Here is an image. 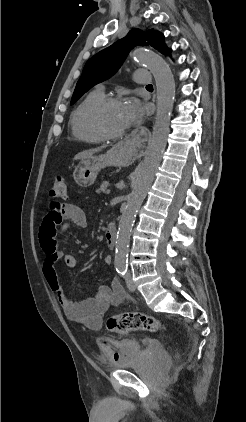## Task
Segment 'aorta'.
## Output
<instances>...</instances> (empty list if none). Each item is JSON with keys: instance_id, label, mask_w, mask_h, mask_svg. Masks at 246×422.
Returning <instances> with one entry per match:
<instances>
[{"instance_id": "aorta-1", "label": "aorta", "mask_w": 246, "mask_h": 422, "mask_svg": "<svg viewBox=\"0 0 246 422\" xmlns=\"http://www.w3.org/2000/svg\"><path fill=\"white\" fill-rule=\"evenodd\" d=\"M133 58L145 65L154 75L157 90V111L151 143L144 161L135 172L132 191L119 222L115 253V266L119 269L126 267L135 217L154 180L166 147L176 89L171 69L162 57L148 50L136 49L133 52Z\"/></svg>"}]
</instances>
